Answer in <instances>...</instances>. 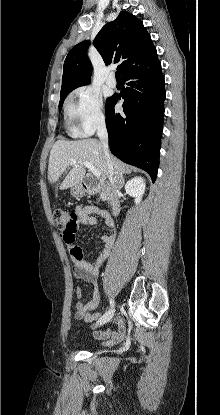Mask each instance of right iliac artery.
<instances>
[{
  "mask_svg": "<svg viewBox=\"0 0 220 415\" xmlns=\"http://www.w3.org/2000/svg\"><path fill=\"white\" fill-rule=\"evenodd\" d=\"M110 307L113 308L114 307V301L113 299L110 298Z\"/></svg>",
  "mask_w": 220,
  "mask_h": 415,
  "instance_id": "obj_1",
  "label": "right iliac artery"
}]
</instances>
